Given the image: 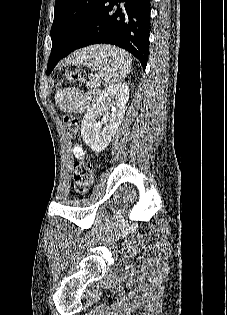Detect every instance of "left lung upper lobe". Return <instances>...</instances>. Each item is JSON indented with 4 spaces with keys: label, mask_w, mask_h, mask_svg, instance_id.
I'll list each match as a JSON object with an SVG mask.
<instances>
[{
    "label": "left lung upper lobe",
    "mask_w": 227,
    "mask_h": 315,
    "mask_svg": "<svg viewBox=\"0 0 227 315\" xmlns=\"http://www.w3.org/2000/svg\"><path fill=\"white\" fill-rule=\"evenodd\" d=\"M103 0H56L51 28L52 47H69L91 21Z\"/></svg>",
    "instance_id": "left-lung-upper-lobe-1"
}]
</instances>
